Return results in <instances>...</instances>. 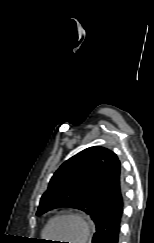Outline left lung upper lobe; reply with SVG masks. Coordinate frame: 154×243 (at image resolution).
Segmentation results:
<instances>
[{
	"label": "left lung upper lobe",
	"mask_w": 154,
	"mask_h": 243,
	"mask_svg": "<svg viewBox=\"0 0 154 243\" xmlns=\"http://www.w3.org/2000/svg\"><path fill=\"white\" fill-rule=\"evenodd\" d=\"M110 152L103 147H90L64 162L42 195L37 215L54 208L71 207L89 214L95 223L101 209L91 200L89 191Z\"/></svg>",
	"instance_id": "1"
}]
</instances>
